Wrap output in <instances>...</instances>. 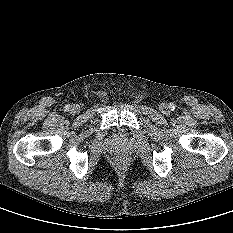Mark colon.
<instances>
[{"label": "colon", "mask_w": 233, "mask_h": 233, "mask_svg": "<svg viewBox=\"0 0 233 233\" xmlns=\"http://www.w3.org/2000/svg\"><path fill=\"white\" fill-rule=\"evenodd\" d=\"M119 162H120V163H123V159H120Z\"/></svg>", "instance_id": "obj_1"}]
</instances>
